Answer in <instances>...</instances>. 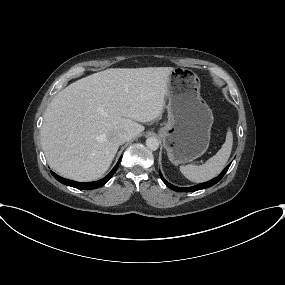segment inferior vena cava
I'll use <instances>...</instances> for the list:
<instances>
[{
  "label": "inferior vena cava",
  "mask_w": 285,
  "mask_h": 285,
  "mask_svg": "<svg viewBox=\"0 0 285 285\" xmlns=\"http://www.w3.org/2000/svg\"><path fill=\"white\" fill-rule=\"evenodd\" d=\"M112 140L115 143L121 145V144H123V143H125L126 141L129 140V135L126 132H124V131L117 130V131L113 132Z\"/></svg>",
  "instance_id": "inferior-vena-cava-1"
}]
</instances>
